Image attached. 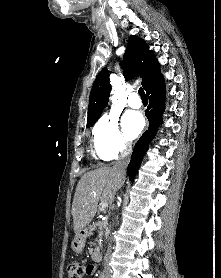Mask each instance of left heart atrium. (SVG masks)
I'll use <instances>...</instances> for the list:
<instances>
[{
  "instance_id": "obj_1",
  "label": "left heart atrium",
  "mask_w": 221,
  "mask_h": 278,
  "mask_svg": "<svg viewBox=\"0 0 221 278\" xmlns=\"http://www.w3.org/2000/svg\"><path fill=\"white\" fill-rule=\"evenodd\" d=\"M125 135L129 139H134L139 135L144 127V120L137 112H127L122 119Z\"/></svg>"
}]
</instances>
